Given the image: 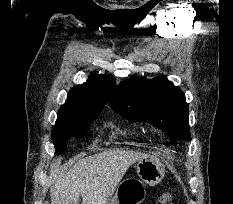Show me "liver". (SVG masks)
I'll return each mask as SVG.
<instances>
[{
    "mask_svg": "<svg viewBox=\"0 0 233 204\" xmlns=\"http://www.w3.org/2000/svg\"><path fill=\"white\" fill-rule=\"evenodd\" d=\"M147 156L135 151L108 150L81 158L68 172L57 173L51 204H108L128 168Z\"/></svg>",
    "mask_w": 233,
    "mask_h": 204,
    "instance_id": "obj_1",
    "label": "liver"
}]
</instances>
